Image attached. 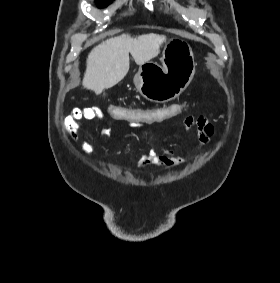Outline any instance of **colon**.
<instances>
[{"mask_svg": "<svg viewBox=\"0 0 280 283\" xmlns=\"http://www.w3.org/2000/svg\"><path fill=\"white\" fill-rule=\"evenodd\" d=\"M184 100L178 103H166L155 107H125L112 103L108 106L110 119H119V122H138L142 125H156V122H167V119H175L184 112Z\"/></svg>", "mask_w": 280, "mask_h": 283, "instance_id": "1", "label": "colon"}]
</instances>
